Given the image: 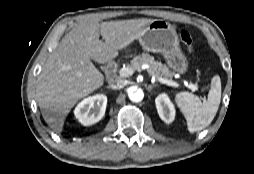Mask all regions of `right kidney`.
I'll use <instances>...</instances> for the list:
<instances>
[{
	"label": "right kidney",
	"instance_id": "1",
	"mask_svg": "<svg viewBox=\"0 0 254 174\" xmlns=\"http://www.w3.org/2000/svg\"><path fill=\"white\" fill-rule=\"evenodd\" d=\"M107 96L94 95L82 100L74 110L75 117L84 126H89L100 121L105 115Z\"/></svg>",
	"mask_w": 254,
	"mask_h": 174
}]
</instances>
